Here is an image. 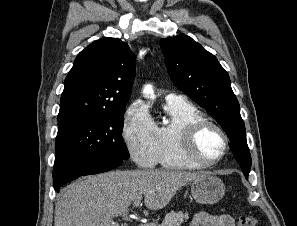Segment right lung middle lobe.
Wrapping results in <instances>:
<instances>
[{
    "mask_svg": "<svg viewBox=\"0 0 297 226\" xmlns=\"http://www.w3.org/2000/svg\"><path fill=\"white\" fill-rule=\"evenodd\" d=\"M123 113L79 114L58 120L55 161L87 154L128 159L122 138Z\"/></svg>",
    "mask_w": 297,
    "mask_h": 226,
    "instance_id": "right-lung-middle-lobe-1",
    "label": "right lung middle lobe"
}]
</instances>
